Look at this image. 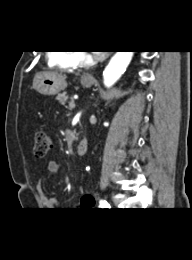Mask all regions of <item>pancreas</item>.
Segmentation results:
<instances>
[{"mask_svg":"<svg viewBox=\"0 0 192 260\" xmlns=\"http://www.w3.org/2000/svg\"><path fill=\"white\" fill-rule=\"evenodd\" d=\"M68 96L66 93H60L57 95L56 100H58L61 104H65L67 102Z\"/></svg>","mask_w":192,"mask_h":260,"instance_id":"cf45deb5","label":"pancreas"}]
</instances>
